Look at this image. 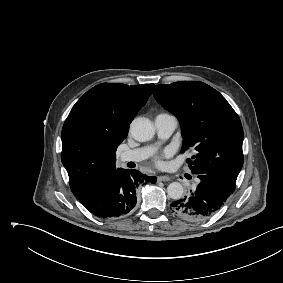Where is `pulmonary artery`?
Returning <instances> with one entry per match:
<instances>
[{"label": "pulmonary artery", "instance_id": "pulmonary-artery-1", "mask_svg": "<svg viewBox=\"0 0 283 283\" xmlns=\"http://www.w3.org/2000/svg\"><path fill=\"white\" fill-rule=\"evenodd\" d=\"M154 123L157 134L161 139H166L170 137L177 126L176 119L168 114H160L156 116ZM151 153V147H142L129 150L120 154L119 162H139L149 157Z\"/></svg>", "mask_w": 283, "mask_h": 283}]
</instances>
